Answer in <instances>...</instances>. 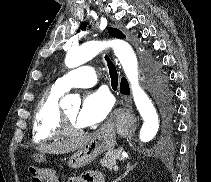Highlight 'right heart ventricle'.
<instances>
[{
  "label": "right heart ventricle",
  "mask_w": 211,
  "mask_h": 182,
  "mask_svg": "<svg viewBox=\"0 0 211 182\" xmlns=\"http://www.w3.org/2000/svg\"><path fill=\"white\" fill-rule=\"evenodd\" d=\"M64 91L56 86L49 88L36 105L33 124L32 140L34 143L52 141L61 136L58 132L59 100Z\"/></svg>",
  "instance_id": "obj_1"
}]
</instances>
